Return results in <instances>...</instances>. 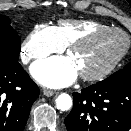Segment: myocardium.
<instances>
[{"mask_svg":"<svg viewBox=\"0 0 131 131\" xmlns=\"http://www.w3.org/2000/svg\"><path fill=\"white\" fill-rule=\"evenodd\" d=\"M108 33H118L124 36L125 46L108 64H106L100 70L91 72V73H80V76L83 80L97 81V80H100L106 77L108 74H110L116 68V66L120 63V61L124 58V56L127 54L130 48V45H131L130 38L126 32H124L123 30L119 28L107 27V28H102V29L91 31L77 38L76 40L72 41L68 45V51L72 52L76 49L86 46L88 43L95 40L97 37L104 35V34H108Z\"/></svg>","mask_w":131,"mask_h":131,"instance_id":"f54148a6","label":"myocardium"}]
</instances>
